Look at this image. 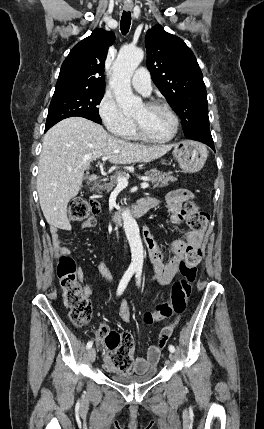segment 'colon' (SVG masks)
Wrapping results in <instances>:
<instances>
[{"instance_id":"obj_1","label":"colon","mask_w":264,"mask_h":429,"mask_svg":"<svg viewBox=\"0 0 264 429\" xmlns=\"http://www.w3.org/2000/svg\"><path fill=\"white\" fill-rule=\"evenodd\" d=\"M100 211L99 203L81 197L74 198L69 206V217L72 221L85 220L90 214ZM209 215L197 208L187 213L188 226L195 232L206 228ZM201 258L199 247H190L185 259L180 262L181 278L171 287L169 301L158 304L154 311L144 314L148 325L168 318L172 313L182 314L187 306L191 284L196 278V267ZM57 274L62 288L63 300L70 309V320L77 327L86 325L91 317V304L78 281L75 261L68 254L62 253L57 265ZM168 333H160L158 344L164 347ZM97 344L107 349L106 364L109 372L128 375L132 372L134 360V340L130 333H119L102 326L97 330Z\"/></svg>"}]
</instances>
